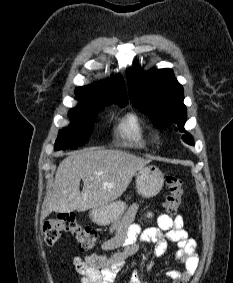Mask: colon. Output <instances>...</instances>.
<instances>
[{
  "instance_id": "obj_1",
  "label": "colon",
  "mask_w": 233,
  "mask_h": 283,
  "mask_svg": "<svg viewBox=\"0 0 233 283\" xmlns=\"http://www.w3.org/2000/svg\"><path fill=\"white\" fill-rule=\"evenodd\" d=\"M167 194L164 200V208L167 215H174L182 199V181L180 178L167 175L165 177ZM45 242L49 245L56 243L64 234L72 236L82 250L96 247L99 242L97 232L77 221L72 214H62L57 218L47 220L43 225Z\"/></svg>"
}]
</instances>
